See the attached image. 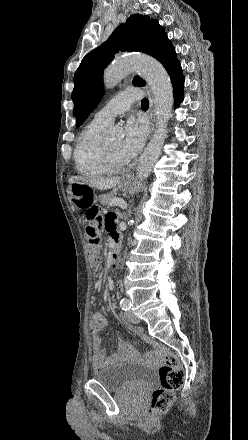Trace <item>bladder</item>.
<instances>
[{
  "mask_svg": "<svg viewBox=\"0 0 248 440\" xmlns=\"http://www.w3.org/2000/svg\"><path fill=\"white\" fill-rule=\"evenodd\" d=\"M154 378V371L145 365L132 362H117L94 373V379L114 391L148 390Z\"/></svg>",
  "mask_w": 248,
  "mask_h": 440,
  "instance_id": "obj_1",
  "label": "bladder"
}]
</instances>
